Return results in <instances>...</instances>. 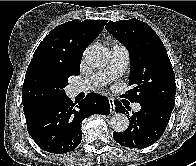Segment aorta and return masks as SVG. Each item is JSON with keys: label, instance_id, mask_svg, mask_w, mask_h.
I'll use <instances>...</instances> for the list:
<instances>
[{"label": "aorta", "instance_id": "aorta-1", "mask_svg": "<svg viewBox=\"0 0 196 166\" xmlns=\"http://www.w3.org/2000/svg\"><path fill=\"white\" fill-rule=\"evenodd\" d=\"M84 57L89 65L103 67L110 59V52L104 45L94 44L85 50ZM111 126L115 132H124L129 126V120L125 114L116 113L111 118Z\"/></svg>", "mask_w": 196, "mask_h": 166}]
</instances>
